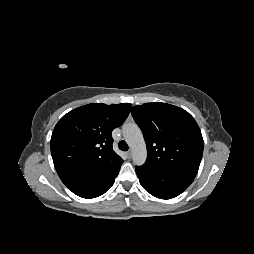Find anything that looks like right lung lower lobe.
Masks as SVG:
<instances>
[{
    "instance_id": "obj_1",
    "label": "right lung lower lobe",
    "mask_w": 254,
    "mask_h": 254,
    "mask_svg": "<svg viewBox=\"0 0 254 254\" xmlns=\"http://www.w3.org/2000/svg\"><path fill=\"white\" fill-rule=\"evenodd\" d=\"M122 163L99 171L71 174L61 180L74 194L82 198H95L112 187Z\"/></svg>"
}]
</instances>
